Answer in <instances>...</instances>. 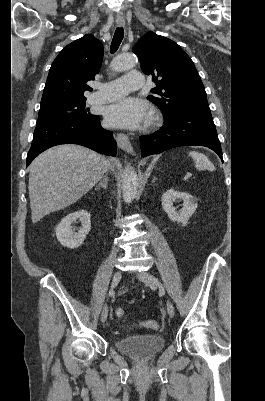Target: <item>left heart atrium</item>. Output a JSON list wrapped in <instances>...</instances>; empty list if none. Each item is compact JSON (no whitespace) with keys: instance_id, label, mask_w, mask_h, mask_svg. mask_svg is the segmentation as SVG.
I'll return each instance as SVG.
<instances>
[{"instance_id":"39dd6f15","label":"left heart atrium","mask_w":265,"mask_h":401,"mask_svg":"<svg viewBox=\"0 0 265 401\" xmlns=\"http://www.w3.org/2000/svg\"><path fill=\"white\" fill-rule=\"evenodd\" d=\"M150 115L149 106L141 100L126 97L106 108V122L115 127L136 128L145 124Z\"/></svg>"}]
</instances>
